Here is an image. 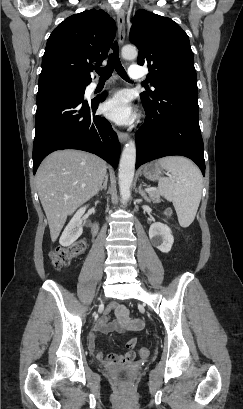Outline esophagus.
Listing matches in <instances>:
<instances>
[{
	"mask_svg": "<svg viewBox=\"0 0 243 409\" xmlns=\"http://www.w3.org/2000/svg\"><path fill=\"white\" fill-rule=\"evenodd\" d=\"M117 25H118V40L119 44L123 45L125 40V15L122 9H120L117 13ZM118 139L121 143H125L129 136L125 132H117Z\"/></svg>",
	"mask_w": 243,
	"mask_h": 409,
	"instance_id": "1",
	"label": "esophagus"
}]
</instances>
